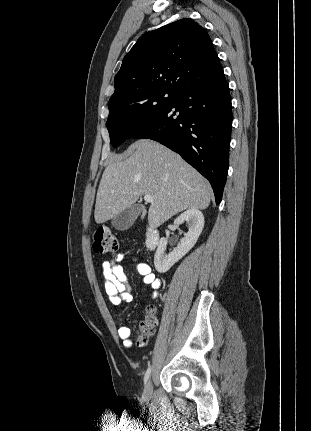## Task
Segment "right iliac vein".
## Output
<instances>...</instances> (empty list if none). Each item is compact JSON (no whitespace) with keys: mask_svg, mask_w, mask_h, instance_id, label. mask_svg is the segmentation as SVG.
<instances>
[{"mask_svg":"<svg viewBox=\"0 0 311 431\" xmlns=\"http://www.w3.org/2000/svg\"><path fill=\"white\" fill-rule=\"evenodd\" d=\"M151 396H152V384H151V381H149L144 389L143 398L144 400H150Z\"/></svg>","mask_w":311,"mask_h":431,"instance_id":"right-iliac-vein-1","label":"right iliac vein"}]
</instances>
